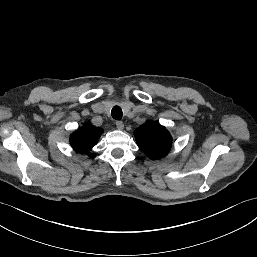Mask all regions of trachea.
Returning <instances> with one entry per match:
<instances>
[{
    "label": "trachea",
    "mask_w": 257,
    "mask_h": 257,
    "mask_svg": "<svg viewBox=\"0 0 257 257\" xmlns=\"http://www.w3.org/2000/svg\"><path fill=\"white\" fill-rule=\"evenodd\" d=\"M111 115L116 120L122 119V110L119 106H114L111 111Z\"/></svg>",
    "instance_id": "1"
}]
</instances>
